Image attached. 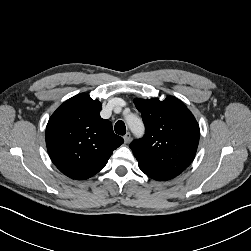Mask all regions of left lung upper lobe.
<instances>
[{"label": "left lung upper lobe", "instance_id": "obj_1", "mask_svg": "<svg viewBox=\"0 0 251 251\" xmlns=\"http://www.w3.org/2000/svg\"><path fill=\"white\" fill-rule=\"evenodd\" d=\"M145 124L142 139L130 148L143 172L177 176L193 161L199 143V125L185 104L173 96L160 101L135 99Z\"/></svg>", "mask_w": 251, "mask_h": 251}]
</instances>
